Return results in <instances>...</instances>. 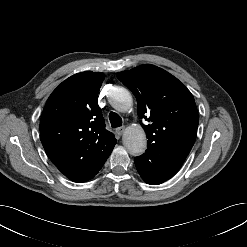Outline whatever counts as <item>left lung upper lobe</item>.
I'll return each mask as SVG.
<instances>
[{
	"instance_id": "1",
	"label": "left lung upper lobe",
	"mask_w": 247,
	"mask_h": 247,
	"mask_svg": "<svg viewBox=\"0 0 247 247\" xmlns=\"http://www.w3.org/2000/svg\"><path fill=\"white\" fill-rule=\"evenodd\" d=\"M117 78L137 99V113L149 125H142L148 138V149L182 147L191 150L199 122L191 92L170 73L142 65L119 72Z\"/></svg>"
}]
</instances>
